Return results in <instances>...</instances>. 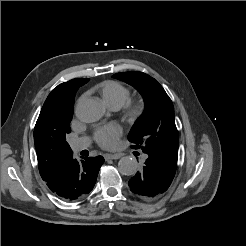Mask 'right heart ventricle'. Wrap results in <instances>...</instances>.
<instances>
[{"instance_id":"1","label":"right heart ventricle","mask_w":246,"mask_h":246,"mask_svg":"<svg viewBox=\"0 0 246 246\" xmlns=\"http://www.w3.org/2000/svg\"><path fill=\"white\" fill-rule=\"evenodd\" d=\"M103 101L112 108L123 106L130 99V90L114 80L102 82L98 87Z\"/></svg>"}]
</instances>
